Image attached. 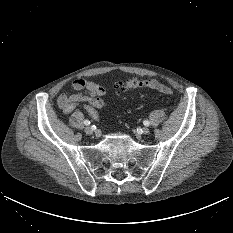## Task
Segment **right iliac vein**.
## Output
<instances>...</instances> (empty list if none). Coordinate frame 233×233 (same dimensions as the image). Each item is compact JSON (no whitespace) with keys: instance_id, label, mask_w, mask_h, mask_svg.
Segmentation results:
<instances>
[{"instance_id":"1","label":"right iliac vein","mask_w":233,"mask_h":233,"mask_svg":"<svg viewBox=\"0 0 233 233\" xmlns=\"http://www.w3.org/2000/svg\"><path fill=\"white\" fill-rule=\"evenodd\" d=\"M84 131L86 134L91 135L93 133V128L91 126H87Z\"/></svg>"}]
</instances>
